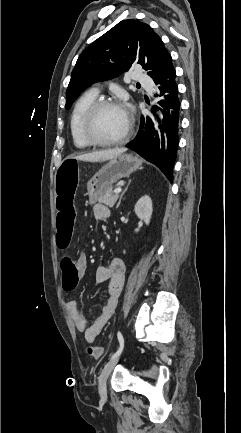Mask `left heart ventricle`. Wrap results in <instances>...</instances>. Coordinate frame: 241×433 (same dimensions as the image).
<instances>
[{"label":"left heart ventricle","instance_id":"left-heart-ventricle-1","mask_svg":"<svg viewBox=\"0 0 241 433\" xmlns=\"http://www.w3.org/2000/svg\"><path fill=\"white\" fill-rule=\"evenodd\" d=\"M128 123V116L120 106L103 108L94 123V133L104 140H113L120 137Z\"/></svg>","mask_w":241,"mask_h":433}]
</instances>
